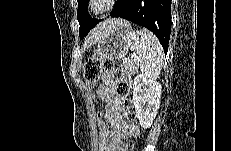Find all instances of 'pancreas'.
<instances>
[{
  "label": "pancreas",
  "instance_id": "pancreas-1",
  "mask_svg": "<svg viewBox=\"0 0 231 151\" xmlns=\"http://www.w3.org/2000/svg\"><path fill=\"white\" fill-rule=\"evenodd\" d=\"M124 71L127 75H133L136 72L137 66L133 62V60H128L123 63Z\"/></svg>",
  "mask_w": 231,
  "mask_h": 151
}]
</instances>
